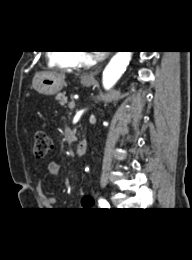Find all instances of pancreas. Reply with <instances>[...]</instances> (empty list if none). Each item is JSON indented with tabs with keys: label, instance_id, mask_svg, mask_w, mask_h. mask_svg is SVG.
Instances as JSON below:
<instances>
[{
	"label": "pancreas",
	"instance_id": "1",
	"mask_svg": "<svg viewBox=\"0 0 192 260\" xmlns=\"http://www.w3.org/2000/svg\"><path fill=\"white\" fill-rule=\"evenodd\" d=\"M55 99L59 101L61 105H64L67 102V97L65 96V93H58ZM73 140H75V136H73Z\"/></svg>",
	"mask_w": 192,
	"mask_h": 260
}]
</instances>
